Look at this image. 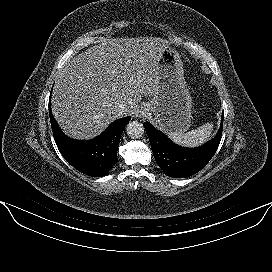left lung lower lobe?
<instances>
[{"mask_svg":"<svg viewBox=\"0 0 272 272\" xmlns=\"http://www.w3.org/2000/svg\"><path fill=\"white\" fill-rule=\"evenodd\" d=\"M151 149L158 166L170 177H189L202 170L214 156L221 140L223 116L217 135L197 148H184L171 142L162 132L145 122Z\"/></svg>","mask_w":272,"mask_h":272,"instance_id":"left-lung-lower-lobe-1","label":"left lung lower lobe"}]
</instances>
